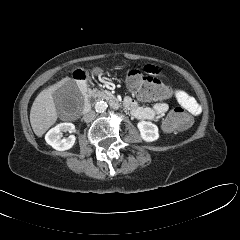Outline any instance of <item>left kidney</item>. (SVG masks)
Segmentation results:
<instances>
[{
    "label": "left kidney",
    "mask_w": 240,
    "mask_h": 240,
    "mask_svg": "<svg viewBox=\"0 0 240 240\" xmlns=\"http://www.w3.org/2000/svg\"><path fill=\"white\" fill-rule=\"evenodd\" d=\"M141 138L146 142H153L159 138L158 127L150 121H140L137 124Z\"/></svg>",
    "instance_id": "left-kidney-1"
}]
</instances>
